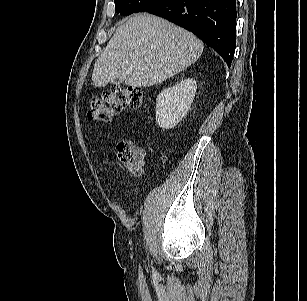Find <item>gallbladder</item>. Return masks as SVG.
I'll return each mask as SVG.
<instances>
[{
  "label": "gallbladder",
  "mask_w": 307,
  "mask_h": 301,
  "mask_svg": "<svg viewBox=\"0 0 307 301\" xmlns=\"http://www.w3.org/2000/svg\"><path fill=\"white\" fill-rule=\"evenodd\" d=\"M112 83L119 86L122 83V81L119 79H114Z\"/></svg>",
  "instance_id": "gallbladder-1"
}]
</instances>
